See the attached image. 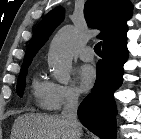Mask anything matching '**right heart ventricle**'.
<instances>
[{
    "mask_svg": "<svg viewBox=\"0 0 141 139\" xmlns=\"http://www.w3.org/2000/svg\"><path fill=\"white\" fill-rule=\"evenodd\" d=\"M31 91L36 105L40 108H47L49 82L36 77L32 81Z\"/></svg>",
    "mask_w": 141,
    "mask_h": 139,
    "instance_id": "right-heart-ventricle-1",
    "label": "right heart ventricle"
}]
</instances>
